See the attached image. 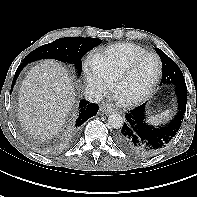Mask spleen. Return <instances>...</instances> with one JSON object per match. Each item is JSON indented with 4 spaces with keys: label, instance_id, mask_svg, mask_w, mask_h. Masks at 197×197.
I'll return each instance as SVG.
<instances>
[{
    "label": "spleen",
    "instance_id": "spleen-1",
    "mask_svg": "<svg viewBox=\"0 0 197 197\" xmlns=\"http://www.w3.org/2000/svg\"><path fill=\"white\" fill-rule=\"evenodd\" d=\"M170 116V110H166L160 114H157L155 116H150L148 118V122L152 125H159L162 124L164 122H166L169 119Z\"/></svg>",
    "mask_w": 197,
    "mask_h": 197
}]
</instances>
